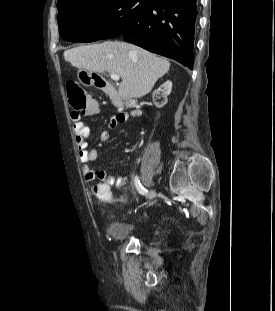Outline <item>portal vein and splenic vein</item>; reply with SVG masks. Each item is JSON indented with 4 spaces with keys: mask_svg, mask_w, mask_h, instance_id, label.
Listing matches in <instances>:
<instances>
[{
    "mask_svg": "<svg viewBox=\"0 0 275 311\" xmlns=\"http://www.w3.org/2000/svg\"><path fill=\"white\" fill-rule=\"evenodd\" d=\"M110 77H111V79L114 80V81H119V80H120V76L117 75V74H115V73H111V74H110Z\"/></svg>",
    "mask_w": 275,
    "mask_h": 311,
    "instance_id": "18ae733b",
    "label": "portal vein and splenic vein"
}]
</instances>
